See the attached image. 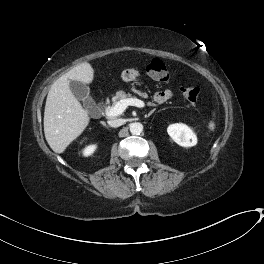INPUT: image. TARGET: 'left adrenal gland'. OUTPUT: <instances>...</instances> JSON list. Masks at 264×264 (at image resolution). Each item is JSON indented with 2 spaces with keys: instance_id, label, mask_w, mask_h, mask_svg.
<instances>
[{
  "instance_id": "1",
  "label": "left adrenal gland",
  "mask_w": 264,
  "mask_h": 264,
  "mask_svg": "<svg viewBox=\"0 0 264 264\" xmlns=\"http://www.w3.org/2000/svg\"><path fill=\"white\" fill-rule=\"evenodd\" d=\"M155 111V109L151 110L149 113H148V116L152 115V113Z\"/></svg>"
}]
</instances>
